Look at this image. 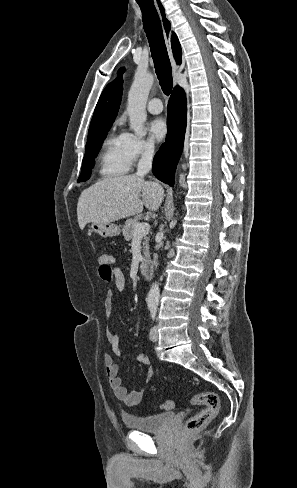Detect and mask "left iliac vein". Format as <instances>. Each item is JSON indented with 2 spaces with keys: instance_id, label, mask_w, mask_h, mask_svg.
I'll use <instances>...</instances> for the list:
<instances>
[{
  "instance_id": "1",
  "label": "left iliac vein",
  "mask_w": 297,
  "mask_h": 488,
  "mask_svg": "<svg viewBox=\"0 0 297 488\" xmlns=\"http://www.w3.org/2000/svg\"><path fill=\"white\" fill-rule=\"evenodd\" d=\"M149 338L151 341L155 342L158 339V331H157V326H153L150 330L149 333Z\"/></svg>"
}]
</instances>
